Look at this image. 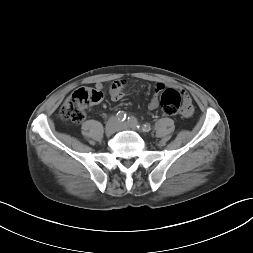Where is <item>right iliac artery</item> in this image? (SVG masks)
<instances>
[{
  "label": "right iliac artery",
  "instance_id": "right-iliac-artery-1",
  "mask_svg": "<svg viewBox=\"0 0 253 253\" xmlns=\"http://www.w3.org/2000/svg\"><path fill=\"white\" fill-rule=\"evenodd\" d=\"M127 115L124 111H119L117 113V118L119 121H124L126 119Z\"/></svg>",
  "mask_w": 253,
  "mask_h": 253
}]
</instances>
